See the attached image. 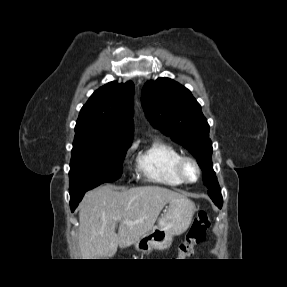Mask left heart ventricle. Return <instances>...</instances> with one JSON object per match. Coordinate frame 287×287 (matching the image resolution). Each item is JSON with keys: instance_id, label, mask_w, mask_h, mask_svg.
I'll return each mask as SVG.
<instances>
[{"instance_id": "obj_1", "label": "left heart ventricle", "mask_w": 287, "mask_h": 287, "mask_svg": "<svg viewBox=\"0 0 287 287\" xmlns=\"http://www.w3.org/2000/svg\"><path fill=\"white\" fill-rule=\"evenodd\" d=\"M186 176L190 180H194L197 176V171L192 164H187L185 168Z\"/></svg>"}]
</instances>
